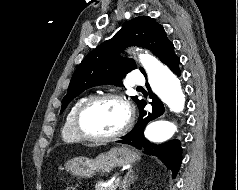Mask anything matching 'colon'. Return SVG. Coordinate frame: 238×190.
<instances>
[{"mask_svg":"<svg viewBox=\"0 0 238 190\" xmlns=\"http://www.w3.org/2000/svg\"><path fill=\"white\" fill-rule=\"evenodd\" d=\"M66 190H76L75 187L69 186Z\"/></svg>","mask_w":238,"mask_h":190,"instance_id":"colon-1","label":"colon"}]
</instances>
